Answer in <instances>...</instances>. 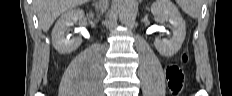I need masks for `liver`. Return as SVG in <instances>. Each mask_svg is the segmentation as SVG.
Masks as SVG:
<instances>
[{
	"label": "liver",
	"instance_id": "liver-1",
	"mask_svg": "<svg viewBox=\"0 0 232 96\" xmlns=\"http://www.w3.org/2000/svg\"><path fill=\"white\" fill-rule=\"evenodd\" d=\"M88 1L89 0H34L41 29L47 32L59 15Z\"/></svg>",
	"mask_w": 232,
	"mask_h": 96
}]
</instances>
